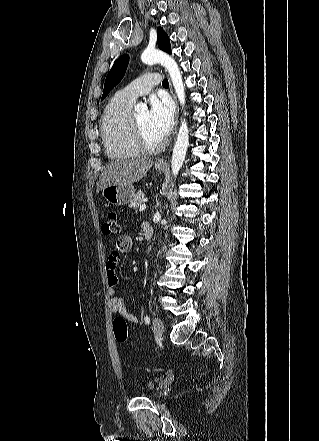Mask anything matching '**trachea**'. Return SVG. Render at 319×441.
Here are the masks:
<instances>
[{
  "instance_id": "1",
  "label": "trachea",
  "mask_w": 319,
  "mask_h": 441,
  "mask_svg": "<svg viewBox=\"0 0 319 441\" xmlns=\"http://www.w3.org/2000/svg\"><path fill=\"white\" fill-rule=\"evenodd\" d=\"M162 86H163V87H168V86H169V82H168L167 79L163 80V82H162Z\"/></svg>"
}]
</instances>
